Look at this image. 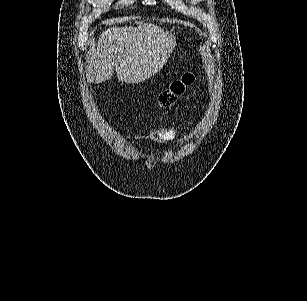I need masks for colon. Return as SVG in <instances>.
Listing matches in <instances>:
<instances>
[{
    "label": "colon",
    "mask_w": 307,
    "mask_h": 301,
    "mask_svg": "<svg viewBox=\"0 0 307 301\" xmlns=\"http://www.w3.org/2000/svg\"><path fill=\"white\" fill-rule=\"evenodd\" d=\"M194 75L191 72H185L179 78L170 82V84L160 92L157 103L160 107L166 108L175 103L185 89L194 82Z\"/></svg>",
    "instance_id": "1"
}]
</instances>
